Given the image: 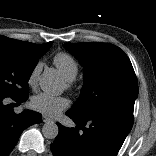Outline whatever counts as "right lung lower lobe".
Listing matches in <instances>:
<instances>
[{
	"instance_id": "1",
	"label": "right lung lower lobe",
	"mask_w": 156,
	"mask_h": 156,
	"mask_svg": "<svg viewBox=\"0 0 156 156\" xmlns=\"http://www.w3.org/2000/svg\"><path fill=\"white\" fill-rule=\"evenodd\" d=\"M5 95L0 94V156H8L15 147L21 133L29 126L40 123L42 115L34 111H23L20 114L13 112L11 103L9 106L4 104ZM28 98L14 99L17 103H22ZM19 105V104H16Z\"/></svg>"
}]
</instances>
